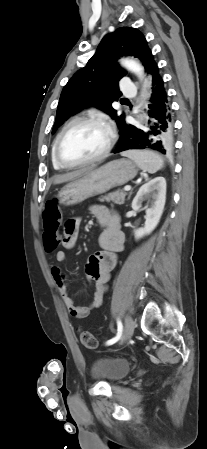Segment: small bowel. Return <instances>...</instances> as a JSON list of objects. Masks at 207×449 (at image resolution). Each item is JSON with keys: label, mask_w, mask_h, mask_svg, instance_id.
Segmentation results:
<instances>
[{"label": "small bowel", "mask_w": 207, "mask_h": 449, "mask_svg": "<svg viewBox=\"0 0 207 449\" xmlns=\"http://www.w3.org/2000/svg\"><path fill=\"white\" fill-rule=\"evenodd\" d=\"M91 212L103 229L98 237V244L102 251L92 254L85 268L86 277L93 287L92 298L88 306L79 307L75 305L69 294L66 275L58 266L52 268V275L64 305L69 314L75 318H85L101 306L110 273L116 265L115 254L124 248V235L120 229L119 216L105 205H94ZM80 223L81 220L78 217H71L65 222L63 237L65 249L69 250L75 247L79 236ZM55 258L57 262H63L66 258L65 251L59 250Z\"/></svg>", "instance_id": "1"}]
</instances>
